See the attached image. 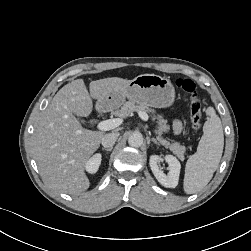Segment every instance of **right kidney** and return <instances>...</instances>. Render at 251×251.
<instances>
[{"instance_id": "right-kidney-1", "label": "right kidney", "mask_w": 251, "mask_h": 251, "mask_svg": "<svg viewBox=\"0 0 251 251\" xmlns=\"http://www.w3.org/2000/svg\"><path fill=\"white\" fill-rule=\"evenodd\" d=\"M100 164H101V154H95L85 163V169L87 172L93 174L98 171Z\"/></svg>"}]
</instances>
